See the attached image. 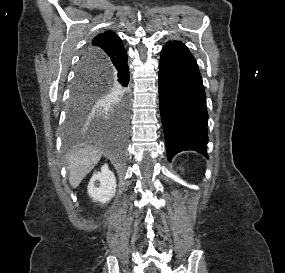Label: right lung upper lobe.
<instances>
[{
	"label": "right lung upper lobe",
	"mask_w": 285,
	"mask_h": 273,
	"mask_svg": "<svg viewBox=\"0 0 285 273\" xmlns=\"http://www.w3.org/2000/svg\"><path fill=\"white\" fill-rule=\"evenodd\" d=\"M126 52L121 39L115 33L106 31L97 35L85 50L82 56L81 65L88 66V63L98 56L111 58L121 56Z\"/></svg>",
	"instance_id": "obj_1"
}]
</instances>
